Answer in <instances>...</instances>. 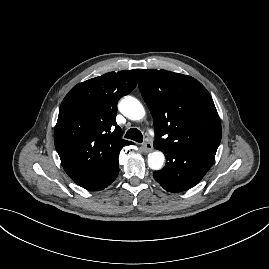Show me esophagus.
Returning a JSON list of instances; mask_svg holds the SVG:
<instances>
[{
    "mask_svg": "<svg viewBox=\"0 0 269 269\" xmlns=\"http://www.w3.org/2000/svg\"><path fill=\"white\" fill-rule=\"evenodd\" d=\"M145 152H151L153 150V144L151 143V141L146 140L143 144H142Z\"/></svg>",
    "mask_w": 269,
    "mask_h": 269,
    "instance_id": "34e87169",
    "label": "esophagus"
}]
</instances>
